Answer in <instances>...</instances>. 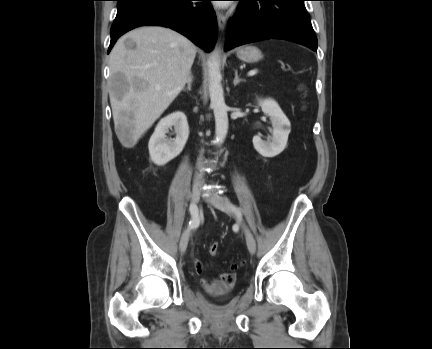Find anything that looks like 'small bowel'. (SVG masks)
<instances>
[{
	"mask_svg": "<svg viewBox=\"0 0 432 349\" xmlns=\"http://www.w3.org/2000/svg\"><path fill=\"white\" fill-rule=\"evenodd\" d=\"M195 268L198 273L202 272V265L199 261L195 262ZM236 276L232 272L221 274L217 278H205L202 280L203 287L210 293L223 292L230 288L235 282Z\"/></svg>",
	"mask_w": 432,
	"mask_h": 349,
	"instance_id": "obj_1",
	"label": "small bowel"
}]
</instances>
